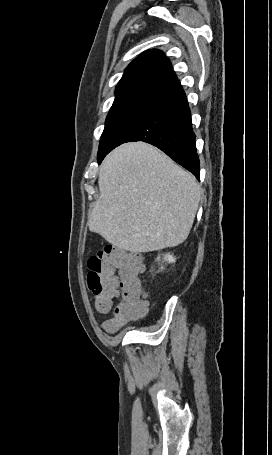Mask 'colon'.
<instances>
[{"mask_svg":"<svg viewBox=\"0 0 272 455\" xmlns=\"http://www.w3.org/2000/svg\"><path fill=\"white\" fill-rule=\"evenodd\" d=\"M87 284L94 305L101 313L111 312L106 322L108 331H115L146 312V291L140 274L143 264L139 255L107 245L87 262ZM121 290V300L115 302Z\"/></svg>","mask_w":272,"mask_h":455,"instance_id":"5ec220e1","label":"colon"}]
</instances>
